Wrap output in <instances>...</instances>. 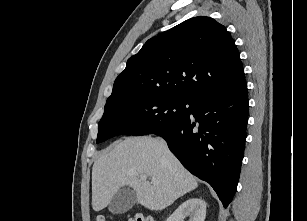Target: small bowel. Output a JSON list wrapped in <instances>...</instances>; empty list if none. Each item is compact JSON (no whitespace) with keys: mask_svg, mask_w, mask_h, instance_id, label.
<instances>
[{"mask_svg":"<svg viewBox=\"0 0 307 221\" xmlns=\"http://www.w3.org/2000/svg\"><path fill=\"white\" fill-rule=\"evenodd\" d=\"M151 221H154V219H153V218H151Z\"/></svg>","mask_w":307,"mask_h":221,"instance_id":"obj_1","label":"small bowel"}]
</instances>
